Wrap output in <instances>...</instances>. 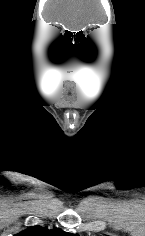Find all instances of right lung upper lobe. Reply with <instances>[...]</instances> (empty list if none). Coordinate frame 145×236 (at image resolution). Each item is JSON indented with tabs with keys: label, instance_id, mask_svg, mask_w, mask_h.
Segmentation results:
<instances>
[{
	"label": "right lung upper lobe",
	"instance_id": "cb5924a9",
	"mask_svg": "<svg viewBox=\"0 0 145 236\" xmlns=\"http://www.w3.org/2000/svg\"><path fill=\"white\" fill-rule=\"evenodd\" d=\"M14 236H78V235L64 232L63 230L57 228L48 230L41 226H32Z\"/></svg>",
	"mask_w": 145,
	"mask_h": 236
}]
</instances>
